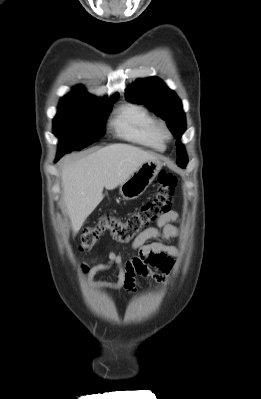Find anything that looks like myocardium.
Returning a JSON list of instances; mask_svg holds the SVG:
<instances>
[{
  "label": "myocardium",
  "instance_id": "1",
  "mask_svg": "<svg viewBox=\"0 0 261 399\" xmlns=\"http://www.w3.org/2000/svg\"><path fill=\"white\" fill-rule=\"evenodd\" d=\"M158 133L163 141H169L172 138L171 131L163 122H158Z\"/></svg>",
  "mask_w": 261,
  "mask_h": 399
}]
</instances>
